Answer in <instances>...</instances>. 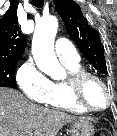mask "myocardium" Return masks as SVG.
<instances>
[{
    "label": "myocardium",
    "instance_id": "obj_1",
    "mask_svg": "<svg viewBox=\"0 0 117 136\" xmlns=\"http://www.w3.org/2000/svg\"><path fill=\"white\" fill-rule=\"evenodd\" d=\"M90 79L97 81L103 87L107 95V102L103 108H99V109L93 108L89 106L84 100V97H83L84 85ZM66 83H67L72 100L78 107H80L85 112H90V113L103 112L107 110L113 102V94L111 93L108 85L100 76L94 73L84 71V70L71 72L69 73V76L66 79Z\"/></svg>",
    "mask_w": 117,
    "mask_h": 136
}]
</instances>
